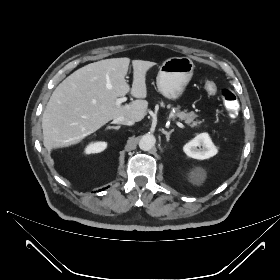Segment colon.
Segmentation results:
<instances>
[{
    "label": "colon",
    "instance_id": "5ec220e1",
    "mask_svg": "<svg viewBox=\"0 0 280 280\" xmlns=\"http://www.w3.org/2000/svg\"><path fill=\"white\" fill-rule=\"evenodd\" d=\"M204 89L209 95H214L217 92V86L213 81H205ZM220 96L224 103L226 110L230 113H234L238 109V101L235 93L229 88H222L220 90Z\"/></svg>",
    "mask_w": 280,
    "mask_h": 280
}]
</instances>
